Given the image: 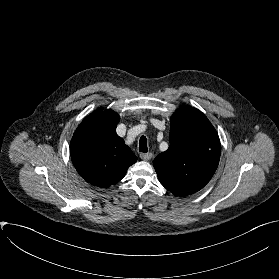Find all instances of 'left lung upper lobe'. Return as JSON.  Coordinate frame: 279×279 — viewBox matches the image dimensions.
Instances as JSON below:
<instances>
[{
	"instance_id": "left-lung-upper-lobe-1",
	"label": "left lung upper lobe",
	"mask_w": 279,
	"mask_h": 279,
	"mask_svg": "<svg viewBox=\"0 0 279 279\" xmlns=\"http://www.w3.org/2000/svg\"><path fill=\"white\" fill-rule=\"evenodd\" d=\"M220 140L207 117L190 106L175 111L170 123L169 149L154 160L160 183L176 196L201 190L220 159Z\"/></svg>"
}]
</instances>
